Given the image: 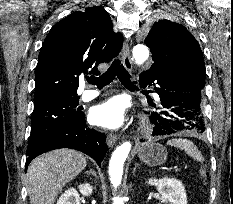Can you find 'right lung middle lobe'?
I'll use <instances>...</instances> for the list:
<instances>
[{
	"instance_id": "1",
	"label": "right lung middle lobe",
	"mask_w": 233,
	"mask_h": 204,
	"mask_svg": "<svg viewBox=\"0 0 233 204\" xmlns=\"http://www.w3.org/2000/svg\"><path fill=\"white\" fill-rule=\"evenodd\" d=\"M78 103L79 96L52 97L34 103L28 147L37 144L82 116L83 112H79L80 110L76 108Z\"/></svg>"
}]
</instances>
